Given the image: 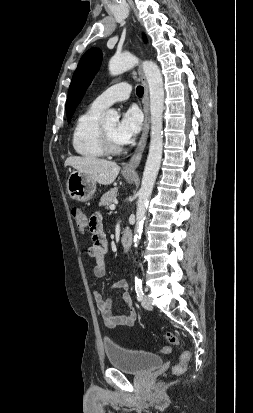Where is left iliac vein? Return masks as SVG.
Listing matches in <instances>:
<instances>
[{"label":"left iliac vein","instance_id":"1","mask_svg":"<svg viewBox=\"0 0 253 413\" xmlns=\"http://www.w3.org/2000/svg\"><path fill=\"white\" fill-rule=\"evenodd\" d=\"M141 303L146 310H152L153 306L148 296H144Z\"/></svg>","mask_w":253,"mask_h":413}]
</instances>
